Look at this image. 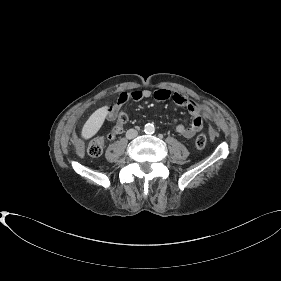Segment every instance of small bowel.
Here are the masks:
<instances>
[{
  "instance_id": "c3829d8e",
  "label": "small bowel",
  "mask_w": 281,
  "mask_h": 281,
  "mask_svg": "<svg viewBox=\"0 0 281 281\" xmlns=\"http://www.w3.org/2000/svg\"><path fill=\"white\" fill-rule=\"evenodd\" d=\"M151 97L155 98L158 101H166L172 99L176 105L186 107L188 109L189 113L193 117L192 123L190 126H185L181 123L176 122L175 131L179 135L190 139L202 130L204 125L205 114L202 106L197 102L190 100L181 93L171 92L170 90L163 88L157 89L155 91L144 89L121 93L116 103L114 105L109 106L107 111V119L110 121L115 120L118 115V111L128 101L139 102L143 99H148Z\"/></svg>"
}]
</instances>
